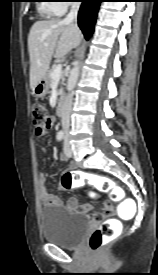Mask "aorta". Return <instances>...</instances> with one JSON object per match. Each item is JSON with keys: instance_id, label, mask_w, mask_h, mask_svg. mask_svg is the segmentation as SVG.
<instances>
[{"instance_id": "aorta-1", "label": "aorta", "mask_w": 158, "mask_h": 275, "mask_svg": "<svg viewBox=\"0 0 158 275\" xmlns=\"http://www.w3.org/2000/svg\"><path fill=\"white\" fill-rule=\"evenodd\" d=\"M79 62L75 61L72 69L70 70L68 81H67V90L72 91L75 87L78 77H79Z\"/></svg>"}]
</instances>
